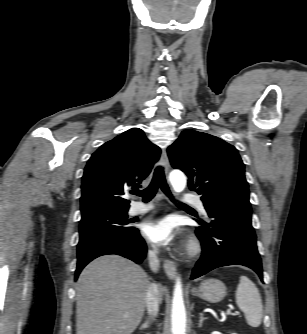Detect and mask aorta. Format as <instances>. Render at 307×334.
I'll return each mask as SVG.
<instances>
[{
    "label": "aorta",
    "instance_id": "1",
    "mask_svg": "<svg viewBox=\"0 0 307 334\" xmlns=\"http://www.w3.org/2000/svg\"><path fill=\"white\" fill-rule=\"evenodd\" d=\"M169 179L175 192H182L185 189L186 177L181 171H172L169 175ZM171 334H186V310L180 278L177 279L173 292Z\"/></svg>",
    "mask_w": 307,
    "mask_h": 334
}]
</instances>
